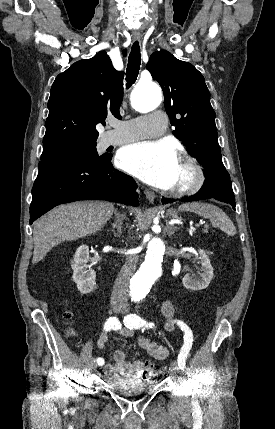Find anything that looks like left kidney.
I'll list each match as a JSON object with an SVG mask.
<instances>
[{
    "label": "left kidney",
    "mask_w": 275,
    "mask_h": 429,
    "mask_svg": "<svg viewBox=\"0 0 275 429\" xmlns=\"http://www.w3.org/2000/svg\"><path fill=\"white\" fill-rule=\"evenodd\" d=\"M199 259L201 263L200 277H193V275L186 274L183 277L182 284L186 289L193 291L202 290L208 287L213 278V267L210 259L205 251L199 250Z\"/></svg>",
    "instance_id": "obj_1"
}]
</instances>
